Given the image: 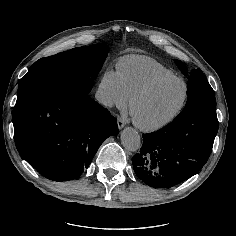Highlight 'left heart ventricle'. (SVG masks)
<instances>
[{"label":"left heart ventricle","instance_id":"obj_1","mask_svg":"<svg viewBox=\"0 0 236 236\" xmlns=\"http://www.w3.org/2000/svg\"><path fill=\"white\" fill-rule=\"evenodd\" d=\"M183 93L184 85L180 81L163 83L135 103L133 114L145 124L159 122L177 109Z\"/></svg>","mask_w":236,"mask_h":236}]
</instances>
